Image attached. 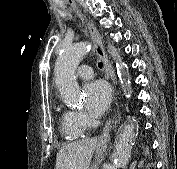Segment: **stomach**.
<instances>
[{
	"label": "stomach",
	"instance_id": "0dacf381",
	"mask_svg": "<svg viewBox=\"0 0 177 169\" xmlns=\"http://www.w3.org/2000/svg\"><path fill=\"white\" fill-rule=\"evenodd\" d=\"M105 149H106L105 144L101 143L100 146L98 147V149L96 150L98 160L102 157ZM90 169H97V164L95 163L93 166H91Z\"/></svg>",
	"mask_w": 177,
	"mask_h": 169
}]
</instances>
